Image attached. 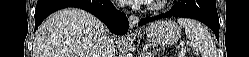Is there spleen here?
<instances>
[{
	"label": "spleen",
	"instance_id": "1",
	"mask_svg": "<svg viewBox=\"0 0 249 57\" xmlns=\"http://www.w3.org/2000/svg\"><path fill=\"white\" fill-rule=\"evenodd\" d=\"M177 21L185 28L187 38L196 50L203 53V57H216L213 38L201 23L188 18H179Z\"/></svg>",
	"mask_w": 249,
	"mask_h": 57
}]
</instances>
